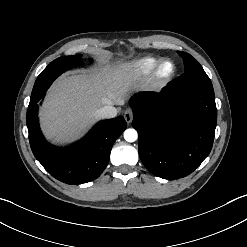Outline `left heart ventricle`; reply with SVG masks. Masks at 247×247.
<instances>
[{"mask_svg":"<svg viewBox=\"0 0 247 247\" xmlns=\"http://www.w3.org/2000/svg\"><path fill=\"white\" fill-rule=\"evenodd\" d=\"M172 69H173L172 64L171 63H166L162 67V74L167 75L172 71Z\"/></svg>","mask_w":247,"mask_h":247,"instance_id":"obj_1","label":"left heart ventricle"}]
</instances>
